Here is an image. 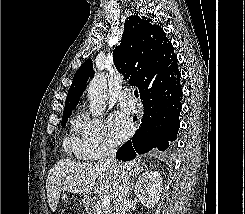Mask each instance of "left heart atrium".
I'll return each mask as SVG.
<instances>
[{"label":"left heart atrium","instance_id":"1","mask_svg":"<svg viewBox=\"0 0 245 214\" xmlns=\"http://www.w3.org/2000/svg\"><path fill=\"white\" fill-rule=\"evenodd\" d=\"M108 124L110 135L115 143L123 142L131 134V125L122 114H112L108 120Z\"/></svg>","mask_w":245,"mask_h":214}]
</instances>
